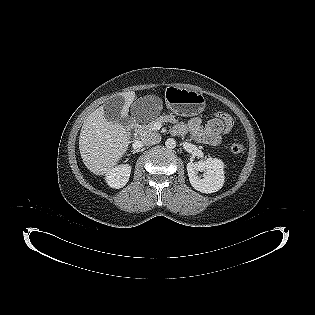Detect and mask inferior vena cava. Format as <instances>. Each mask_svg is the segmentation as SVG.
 Listing matches in <instances>:
<instances>
[{"instance_id": "inferior-vena-cava-1", "label": "inferior vena cava", "mask_w": 315, "mask_h": 315, "mask_svg": "<svg viewBox=\"0 0 315 315\" xmlns=\"http://www.w3.org/2000/svg\"><path fill=\"white\" fill-rule=\"evenodd\" d=\"M161 141L159 134H151L142 139V144L144 145H154Z\"/></svg>"}]
</instances>
